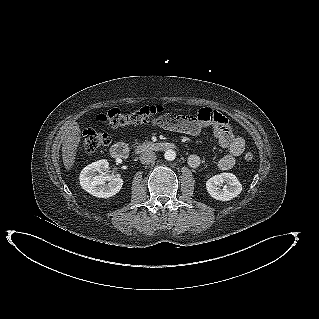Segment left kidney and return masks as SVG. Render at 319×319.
<instances>
[{"mask_svg":"<svg viewBox=\"0 0 319 319\" xmlns=\"http://www.w3.org/2000/svg\"><path fill=\"white\" fill-rule=\"evenodd\" d=\"M223 183H227L220 188ZM207 192L216 200L229 201L242 192V185L232 173H221L206 181Z\"/></svg>","mask_w":319,"mask_h":319,"instance_id":"left-kidney-1","label":"left kidney"}]
</instances>
